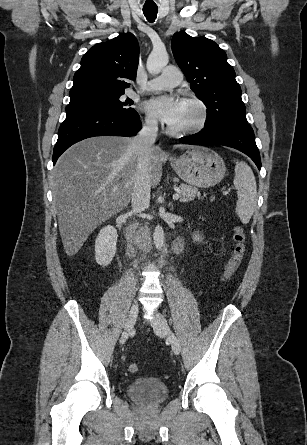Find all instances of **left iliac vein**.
Wrapping results in <instances>:
<instances>
[{"label":"left iliac vein","instance_id":"left-iliac-vein-1","mask_svg":"<svg viewBox=\"0 0 307 445\" xmlns=\"http://www.w3.org/2000/svg\"><path fill=\"white\" fill-rule=\"evenodd\" d=\"M152 327L158 336L169 339L173 352L178 355L180 353L179 340L171 331L166 318L160 312L155 313V318L152 320Z\"/></svg>","mask_w":307,"mask_h":445}]
</instances>
